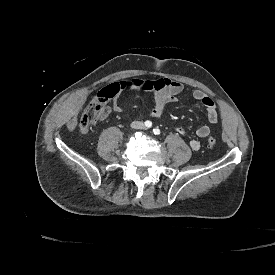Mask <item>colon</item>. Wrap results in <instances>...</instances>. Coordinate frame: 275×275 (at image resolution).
Here are the masks:
<instances>
[{
	"instance_id": "colon-1",
	"label": "colon",
	"mask_w": 275,
	"mask_h": 275,
	"mask_svg": "<svg viewBox=\"0 0 275 275\" xmlns=\"http://www.w3.org/2000/svg\"><path fill=\"white\" fill-rule=\"evenodd\" d=\"M108 113V105L105 103H92L83 112L80 118V128L82 130H89L91 124L103 119ZM208 144L210 146L216 143V138L213 136L208 137Z\"/></svg>"
}]
</instances>
